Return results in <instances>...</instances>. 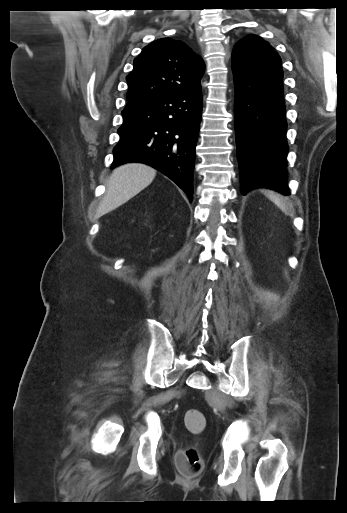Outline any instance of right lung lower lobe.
Here are the masks:
<instances>
[{
  "mask_svg": "<svg viewBox=\"0 0 347 513\" xmlns=\"http://www.w3.org/2000/svg\"><path fill=\"white\" fill-rule=\"evenodd\" d=\"M201 112V90L125 108L112 167L148 164L172 179L191 202Z\"/></svg>",
  "mask_w": 347,
  "mask_h": 513,
  "instance_id": "1",
  "label": "right lung lower lobe"
}]
</instances>
